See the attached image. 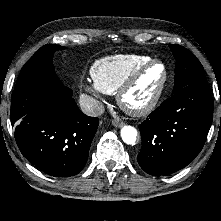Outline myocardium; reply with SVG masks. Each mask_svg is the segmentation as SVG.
<instances>
[{"label":"myocardium","instance_id":"f54148a6","mask_svg":"<svg viewBox=\"0 0 221 221\" xmlns=\"http://www.w3.org/2000/svg\"><path fill=\"white\" fill-rule=\"evenodd\" d=\"M156 64L161 65L163 68V76L156 91L145 104L138 106V107L129 106L125 102L126 95L136 85V83L139 81L141 76L150 67ZM168 76H169V73H168L166 64L159 59H151L148 62L142 64L131 73V75L123 82V84L119 87L118 91L116 92V100H117L118 105L123 111H125L129 115L136 116V117L145 116L151 113L157 107L164 93V90L168 81Z\"/></svg>","mask_w":221,"mask_h":221}]
</instances>
